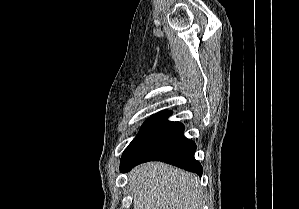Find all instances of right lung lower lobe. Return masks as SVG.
<instances>
[{"label": "right lung lower lobe", "instance_id": "1", "mask_svg": "<svg viewBox=\"0 0 299 209\" xmlns=\"http://www.w3.org/2000/svg\"><path fill=\"white\" fill-rule=\"evenodd\" d=\"M171 111H161L149 118L122 154L120 171L128 172L147 161H161L202 175L203 168L195 160L196 144L183 135L184 126L167 118Z\"/></svg>", "mask_w": 299, "mask_h": 209}]
</instances>
